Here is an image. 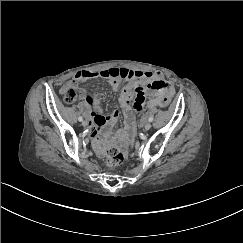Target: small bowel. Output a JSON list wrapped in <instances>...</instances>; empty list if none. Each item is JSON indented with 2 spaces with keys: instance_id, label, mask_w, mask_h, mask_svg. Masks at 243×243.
<instances>
[{
  "instance_id": "obj_1",
  "label": "small bowel",
  "mask_w": 243,
  "mask_h": 243,
  "mask_svg": "<svg viewBox=\"0 0 243 243\" xmlns=\"http://www.w3.org/2000/svg\"><path fill=\"white\" fill-rule=\"evenodd\" d=\"M94 78H107L112 89H117L120 80L128 81L135 90L134 110L141 111L146 105L149 109L166 107L174 94V88L165 81L164 76L158 71H140L127 68H109L100 71H79L70 84H78ZM70 84L64 85L61 91L64 93ZM150 94L152 97L145 102V96ZM85 101L92 107L90 113V134L97 138L100 129L113 123L119 116L117 111L108 116L101 114L98 97L84 95Z\"/></svg>"
}]
</instances>
